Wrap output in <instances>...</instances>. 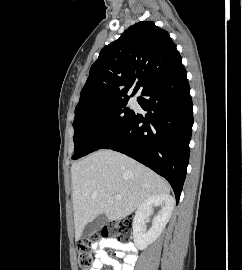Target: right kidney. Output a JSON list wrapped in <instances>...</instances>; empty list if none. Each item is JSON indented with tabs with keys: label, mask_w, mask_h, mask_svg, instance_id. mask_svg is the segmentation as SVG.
<instances>
[{
	"label": "right kidney",
	"mask_w": 242,
	"mask_h": 270,
	"mask_svg": "<svg viewBox=\"0 0 242 270\" xmlns=\"http://www.w3.org/2000/svg\"><path fill=\"white\" fill-rule=\"evenodd\" d=\"M175 201L169 194H157L144 200L138 207L133 219L134 243L138 249H145L162 233L169 221ZM161 206V210L153 218L152 227L146 231V220L153 214V207Z\"/></svg>",
	"instance_id": "ca27d5eb"
}]
</instances>
